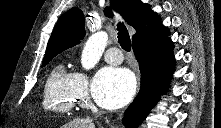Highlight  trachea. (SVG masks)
I'll return each mask as SVG.
<instances>
[{
  "label": "trachea",
  "mask_w": 221,
  "mask_h": 128,
  "mask_svg": "<svg viewBox=\"0 0 221 128\" xmlns=\"http://www.w3.org/2000/svg\"><path fill=\"white\" fill-rule=\"evenodd\" d=\"M117 30H118V41L120 43V46L125 51H130V49H131V40H130V36L128 34V31H127L126 27L124 26V24L119 22Z\"/></svg>",
  "instance_id": "3493384b"
}]
</instances>
